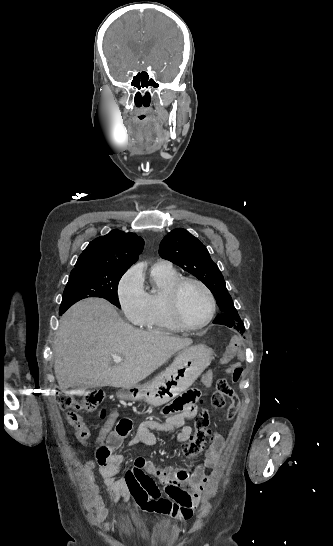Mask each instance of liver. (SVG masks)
I'll return each mask as SVG.
<instances>
[{"instance_id": "liver-1", "label": "liver", "mask_w": 333, "mask_h": 546, "mask_svg": "<svg viewBox=\"0 0 333 546\" xmlns=\"http://www.w3.org/2000/svg\"><path fill=\"white\" fill-rule=\"evenodd\" d=\"M192 339L148 333L125 323L106 300L84 299L60 319L54 371L61 390L136 385ZM124 358L111 365V358Z\"/></svg>"}]
</instances>
